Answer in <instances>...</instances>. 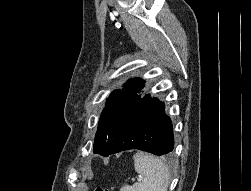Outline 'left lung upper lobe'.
Wrapping results in <instances>:
<instances>
[{
	"mask_svg": "<svg viewBox=\"0 0 251 191\" xmlns=\"http://www.w3.org/2000/svg\"><path fill=\"white\" fill-rule=\"evenodd\" d=\"M144 82L141 78L131 79L124 85V89L114 90L109 95L106 100V107L98 123L93 148L94 153L108 156L116 137L142 98V95L138 93L144 87Z\"/></svg>",
	"mask_w": 251,
	"mask_h": 191,
	"instance_id": "1",
	"label": "left lung upper lobe"
}]
</instances>
